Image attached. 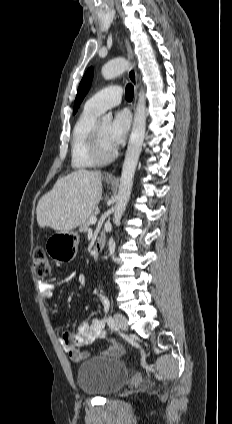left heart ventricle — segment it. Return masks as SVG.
<instances>
[{
  "mask_svg": "<svg viewBox=\"0 0 232 424\" xmlns=\"http://www.w3.org/2000/svg\"><path fill=\"white\" fill-rule=\"evenodd\" d=\"M109 126H110L109 122L99 123L101 145H102V150L105 154H110L115 149V147L111 144L109 140V134H108Z\"/></svg>",
  "mask_w": 232,
  "mask_h": 424,
  "instance_id": "obj_1",
  "label": "left heart ventricle"
}]
</instances>
